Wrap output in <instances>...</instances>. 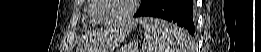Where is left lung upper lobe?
Wrapping results in <instances>:
<instances>
[{
    "mask_svg": "<svg viewBox=\"0 0 261 52\" xmlns=\"http://www.w3.org/2000/svg\"><path fill=\"white\" fill-rule=\"evenodd\" d=\"M153 2V0H142V5H141V9H144L146 6L150 5ZM139 10V11H140Z\"/></svg>",
    "mask_w": 261,
    "mask_h": 52,
    "instance_id": "1",
    "label": "left lung upper lobe"
}]
</instances>
